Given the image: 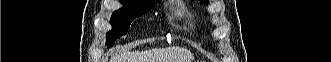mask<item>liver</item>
Returning a JSON list of instances; mask_svg holds the SVG:
<instances>
[{
  "mask_svg": "<svg viewBox=\"0 0 331 62\" xmlns=\"http://www.w3.org/2000/svg\"><path fill=\"white\" fill-rule=\"evenodd\" d=\"M193 58L185 48L169 47L146 51L126 52L113 57L110 62H190Z\"/></svg>",
  "mask_w": 331,
  "mask_h": 62,
  "instance_id": "1",
  "label": "liver"
}]
</instances>
